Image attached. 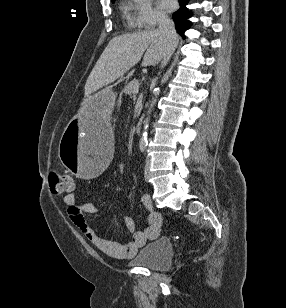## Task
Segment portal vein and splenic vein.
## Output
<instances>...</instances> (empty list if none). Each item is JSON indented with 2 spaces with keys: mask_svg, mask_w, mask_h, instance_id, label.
<instances>
[{
  "mask_svg": "<svg viewBox=\"0 0 286 308\" xmlns=\"http://www.w3.org/2000/svg\"><path fill=\"white\" fill-rule=\"evenodd\" d=\"M134 92H135V93H138V92H139V85H137V86L134 88Z\"/></svg>",
  "mask_w": 286,
  "mask_h": 308,
  "instance_id": "portal-vein-and-splenic-vein-1",
  "label": "portal vein and splenic vein"
}]
</instances>
